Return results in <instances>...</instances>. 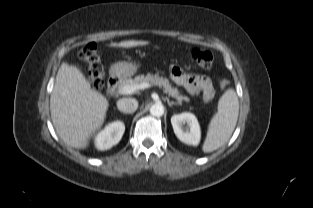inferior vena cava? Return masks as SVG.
<instances>
[{
  "mask_svg": "<svg viewBox=\"0 0 313 208\" xmlns=\"http://www.w3.org/2000/svg\"><path fill=\"white\" fill-rule=\"evenodd\" d=\"M117 107L123 113H134L138 108V102L134 98H122L117 101Z\"/></svg>",
  "mask_w": 313,
  "mask_h": 208,
  "instance_id": "obj_1",
  "label": "inferior vena cava"
}]
</instances>
